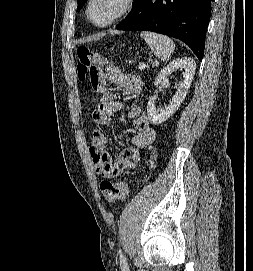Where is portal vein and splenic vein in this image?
I'll return each mask as SVG.
<instances>
[{
	"instance_id": "obj_1",
	"label": "portal vein and splenic vein",
	"mask_w": 253,
	"mask_h": 271,
	"mask_svg": "<svg viewBox=\"0 0 253 271\" xmlns=\"http://www.w3.org/2000/svg\"><path fill=\"white\" fill-rule=\"evenodd\" d=\"M146 68V65L144 63L139 64V69L143 70Z\"/></svg>"
}]
</instances>
